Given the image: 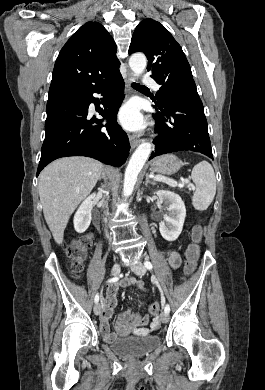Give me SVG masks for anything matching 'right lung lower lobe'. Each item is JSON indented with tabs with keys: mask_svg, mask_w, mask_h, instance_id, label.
<instances>
[{
	"mask_svg": "<svg viewBox=\"0 0 265 390\" xmlns=\"http://www.w3.org/2000/svg\"><path fill=\"white\" fill-rule=\"evenodd\" d=\"M93 93L105 96L104 109L100 108ZM124 80L121 73L104 80L80 94L51 99L47 102L45 139L41 150L37 176L55 159L67 156H87L116 167L123 165L129 155V139L116 115L124 97ZM108 122L91 118L89 105Z\"/></svg>",
	"mask_w": 265,
	"mask_h": 390,
	"instance_id": "98d812e1",
	"label": "right lung lower lobe"
}]
</instances>
